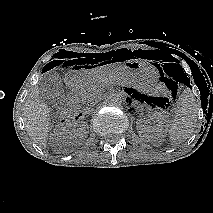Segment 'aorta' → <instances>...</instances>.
I'll use <instances>...</instances> for the list:
<instances>
[{"instance_id": "1", "label": "aorta", "mask_w": 213, "mask_h": 213, "mask_svg": "<svg viewBox=\"0 0 213 213\" xmlns=\"http://www.w3.org/2000/svg\"><path fill=\"white\" fill-rule=\"evenodd\" d=\"M123 102V98L118 93H113L108 98V104L114 107H120Z\"/></svg>"}]
</instances>
